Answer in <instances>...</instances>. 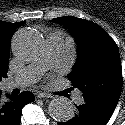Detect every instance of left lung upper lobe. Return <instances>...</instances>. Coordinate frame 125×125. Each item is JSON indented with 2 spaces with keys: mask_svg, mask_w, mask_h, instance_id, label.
Instances as JSON below:
<instances>
[{
  "mask_svg": "<svg viewBox=\"0 0 125 125\" xmlns=\"http://www.w3.org/2000/svg\"><path fill=\"white\" fill-rule=\"evenodd\" d=\"M76 39L78 59L67 76L82 91L86 103L117 105L122 90V66L114 40L99 25L73 16L54 18Z\"/></svg>",
  "mask_w": 125,
  "mask_h": 125,
  "instance_id": "left-lung-upper-lobe-1",
  "label": "left lung upper lobe"
}]
</instances>
